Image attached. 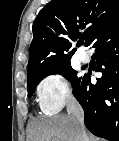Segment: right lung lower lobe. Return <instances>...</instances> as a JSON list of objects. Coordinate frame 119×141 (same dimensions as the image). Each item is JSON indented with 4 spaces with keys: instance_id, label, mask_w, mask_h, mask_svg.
Instances as JSON below:
<instances>
[{
    "instance_id": "1",
    "label": "right lung lower lobe",
    "mask_w": 119,
    "mask_h": 141,
    "mask_svg": "<svg viewBox=\"0 0 119 141\" xmlns=\"http://www.w3.org/2000/svg\"><path fill=\"white\" fill-rule=\"evenodd\" d=\"M103 73L94 85L85 74L73 94L85 113V125L94 135L119 141V18L107 23L91 45Z\"/></svg>"
}]
</instances>
